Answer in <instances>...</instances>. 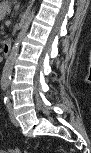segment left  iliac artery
I'll return each instance as SVG.
<instances>
[{"label": "left iliac artery", "mask_w": 91, "mask_h": 153, "mask_svg": "<svg viewBox=\"0 0 91 153\" xmlns=\"http://www.w3.org/2000/svg\"><path fill=\"white\" fill-rule=\"evenodd\" d=\"M4 103L8 109L11 107L9 96H5Z\"/></svg>", "instance_id": "1"}]
</instances>
